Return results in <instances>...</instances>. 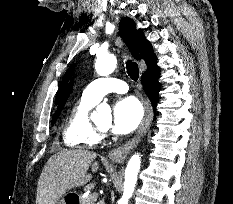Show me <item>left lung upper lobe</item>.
<instances>
[{
  "label": "left lung upper lobe",
  "instance_id": "obj_1",
  "mask_svg": "<svg viewBox=\"0 0 233 204\" xmlns=\"http://www.w3.org/2000/svg\"><path fill=\"white\" fill-rule=\"evenodd\" d=\"M72 87H73V80L70 82L69 86L67 87V89H66V91H65V93H64V95H63V97H62V99H61V101H60V103L58 105L59 110L63 109V107H64V105H65V103H66V101H67V99H68V97H69V95L71 93ZM59 114H60V111L55 112V114L53 116V119H52V124L55 123V121L57 120Z\"/></svg>",
  "mask_w": 233,
  "mask_h": 204
}]
</instances>
